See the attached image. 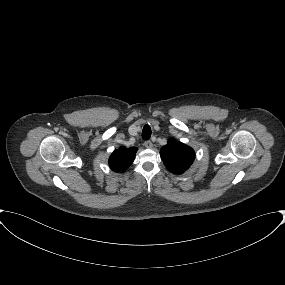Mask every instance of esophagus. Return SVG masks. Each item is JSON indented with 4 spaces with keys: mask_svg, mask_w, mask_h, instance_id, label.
Listing matches in <instances>:
<instances>
[{
    "mask_svg": "<svg viewBox=\"0 0 285 285\" xmlns=\"http://www.w3.org/2000/svg\"><path fill=\"white\" fill-rule=\"evenodd\" d=\"M144 146L148 149H151L153 147V144L151 141L147 140L144 142Z\"/></svg>",
    "mask_w": 285,
    "mask_h": 285,
    "instance_id": "esophagus-1",
    "label": "esophagus"
}]
</instances>
